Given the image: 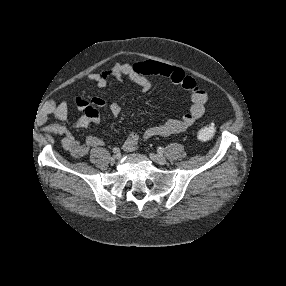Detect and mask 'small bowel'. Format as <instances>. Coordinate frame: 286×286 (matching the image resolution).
Instances as JSON below:
<instances>
[{"mask_svg": "<svg viewBox=\"0 0 286 286\" xmlns=\"http://www.w3.org/2000/svg\"><path fill=\"white\" fill-rule=\"evenodd\" d=\"M150 75L166 78L182 86L188 92L191 104L189 110L181 118H170L162 124L147 128L142 135L143 140H148L155 136H166L183 132L204 115L205 105L208 100L207 94L199 87L194 78L175 66L153 61L136 62L134 64L116 63L102 72L90 74L88 79L99 88H104L110 78L122 80L124 77H127L142 92H149L153 86ZM76 105L82 112L76 118H69L66 102L51 103L49 112L57 119L66 121L75 128H86L92 123L101 121V113L98 108L105 105V101L102 98L94 97L91 103H89L85 99L78 97ZM109 110L112 115L117 116L121 112L120 103L113 101L109 105ZM47 129L53 133L64 135L61 145L74 158H81L90 147L103 144V141L96 136H88L85 143H81L65 126L60 124L48 125ZM140 139L137 133H130L123 144V149L128 152L136 150Z\"/></svg>", "mask_w": 286, "mask_h": 286, "instance_id": "1", "label": "small bowel"}]
</instances>
